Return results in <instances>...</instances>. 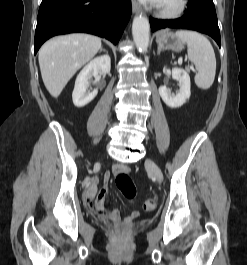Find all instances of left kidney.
<instances>
[{"instance_id": "left-kidney-1", "label": "left kidney", "mask_w": 247, "mask_h": 265, "mask_svg": "<svg viewBox=\"0 0 247 265\" xmlns=\"http://www.w3.org/2000/svg\"><path fill=\"white\" fill-rule=\"evenodd\" d=\"M172 77L179 83V91L176 95L171 94V90L166 86L159 87V94L164 103L170 108L181 107L190 97V77L186 70L181 68L172 69Z\"/></svg>"}]
</instances>
